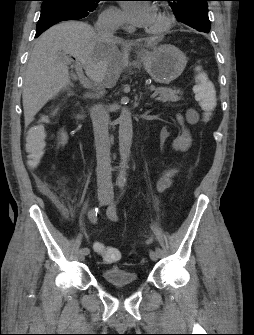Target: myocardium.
Masks as SVG:
<instances>
[{
  "label": "myocardium",
  "mask_w": 254,
  "mask_h": 335,
  "mask_svg": "<svg viewBox=\"0 0 254 335\" xmlns=\"http://www.w3.org/2000/svg\"><path fill=\"white\" fill-rule=\"evenodd\" d=\"M158 17L161 20V24L156 29H152L151 32L154 34H162L167 32L172 26V19L164 12H158Z\"/></svg>",
  "instance_id": "myocardium-1"
}]
</instances>
